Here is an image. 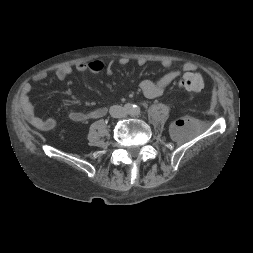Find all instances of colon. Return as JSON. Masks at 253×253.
Segmentation results:
<instances>
[{
    "mask_svg": "<svg viewBox=\"0 0 253 253\" xmlns=\"http://www.w3.org/2000/svg\"><path fill=\"white\" fill-rule=\"evenodd\" d=\"M89 66L90 69L95 72H100L105 67L102 60H93L89 63ZM179 86L188 91L199 92L204 89L205 81L201 74L195 72H187L181 77Z\"/></svg>",
    "mask_w": 253,
    "mask_h": 253,
    "instance_id": "1",
    "label": "colon"
}]
</instances>
